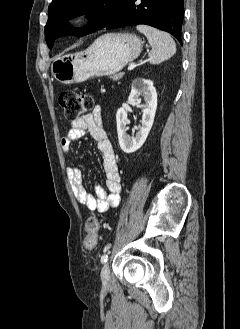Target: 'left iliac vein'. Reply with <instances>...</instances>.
I'll return each instance as SVG.
<instances>
[{"label":"left iliac vein","mask_w":240,"mask_h":329,"mask_svg":"<svg viewBox=\"0 0 240 329\" xmlns=\"http://www.w3.org/2000/svg\"><path fill=\"white\" fill-rule=\"evenodd\" d=\"M101 280L104 286L110 285V269L109 264L105 263L101 271Z\"/></svg>","instance_id":"obj_1"}]
</instances>
